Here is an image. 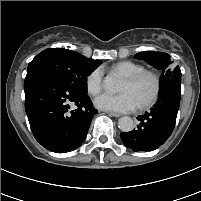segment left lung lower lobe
I'll list each match as a JSON object with an SVG mask.
<instances>
[{"instance_id":"0a47b994","label":"left lung lower lobe","mask_w":201,"mask_h":201,"mask_svg":"<svg viewBox=\"0 0 201 201\" xmlns=\"http://www.w3.org/2000/svg\"><path fill=\"white\" fill-rule=\"evenodd\" d=\"M180 95L178 85L162 91L154 107L137 117L140 121L137 128L120 134L124 145L135 152L152 151L163 145L174 129Z\"/></svg>"}]
</instances>
